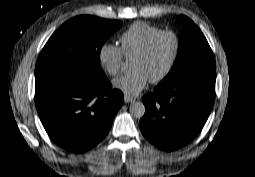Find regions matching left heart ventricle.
I'll list each match as a JSON object with an SVG mask.
<instances>
[{
  "label": "left heart ventricle",
  "instance_id": "obj_1",
  "mask_svg": "<svg viewBox=\"0 0 255 177\" xmlns=\"http://www.w3.org/2000/svg\"><path fill=\"white\" fill-rule=\"evenodd\" d=\"M174 50V39L170 35L160 37L148 55L144 58H134L132 71H141L148 79L157 77L166 67Z\"/></svg>",
  "mask_w": 255,
  "mask_h": 177
}]
</instances>
